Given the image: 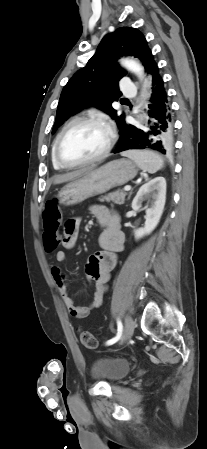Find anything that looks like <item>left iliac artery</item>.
Here are the masks:
<instances>
[{"label": "left iliac artery", "mask_w": 207, "mask_h": 449, "mask_svg": "<svg viewBox=\"0 0 207 449\" xmlns=\"http://www.w3.org/2000/svg\"><path fill=\"white\" fill-rule=\"evenodd\" d=\"M122 331H123V325H122V322L118 319L117 320V334L114 338L108 340L106 342V345H113L114 343H116L121 338Z\"/></svg>", "instance_id": "44dca946"}]
</instances>
